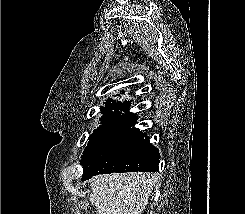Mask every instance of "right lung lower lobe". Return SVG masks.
Here are the masks:
<instances>
[{"mask_svg":"<svg viewBox=\"0 0 245 214\" xmlns=\"http://www.w3.org/2000/svg\"><path fill=\"white\" fill-rule=\"evenodd\" d=\"M127 132V138L117 147L119 166L104 173L158 171L160 154L158 149L149 142V137L145 133L138 131V129H127ZM92 176H95V174L87 175L83 179L87 180Z\"/></svg>","mask_w":245,"mask_h":214,"instance_id":"98d812e1","label":"right lung lower lobe"}]
</instances>
